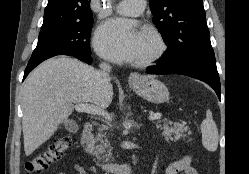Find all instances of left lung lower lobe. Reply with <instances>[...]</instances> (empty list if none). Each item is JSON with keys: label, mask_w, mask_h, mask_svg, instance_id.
Listing matches in <instances>:
<instances>
[{"label": "left lung lower lobe", "mask_w": 249, "mask_h": 174, "mask_svg": "<svg viewBox=\"0 0 249 174\" xmlns=\"http://www.w3.org/2000/svg\"><path fill=\"white\" fill-rule=\"evenodd\" d=\"M149 74H181L204 81L210 85L220 99L221 86L214 55L192 58L178 64H165L147 69Z\"/></svg>", "instance_id": "obj_1"}]
</instances>
